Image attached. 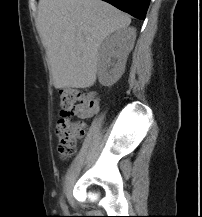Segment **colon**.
I'll return each instance as SVG.
<instances>
[{
  "label": "colon",
  "instance_id": "5ec220e1",
  "mask_svg": "<svg viewBox=\"0 0 202 217\" xmlns=\"http://www.w3.org/2000/svg\"><path fill=\"white\" fill-rule=\"evenodd\" d=\"M60 117L56 124L58 152L62 158L71 157L79 140L85 135V124L74 120V109L90 103L91 96L78 89L65 88L59 91Z\"/></svg>",
  "mask_w": 202,
  "mask_h": 217
}]
</instances>
